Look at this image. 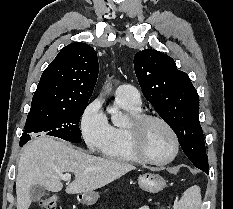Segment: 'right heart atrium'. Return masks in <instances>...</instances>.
I'll return each mask as SVG.
<instances>
[{
  "mask_svg": "<svg viewBox=\"0 0 233 209\" xmlns=\"http://www.w3.org/2000/svg\"><path fill=\"white\" fill-rule=\"evenodd\" d=\"M80 128L83 139L90 150H101L108 143L112 126L102 110L100 99H95L86 106L81 115Z\"/></svg>",
  "mask_w": 233,
  "mask_h": 209,
  "instance_id": "d8ad5b80",
  "label": "right heart atrium"
}]
</instances>
